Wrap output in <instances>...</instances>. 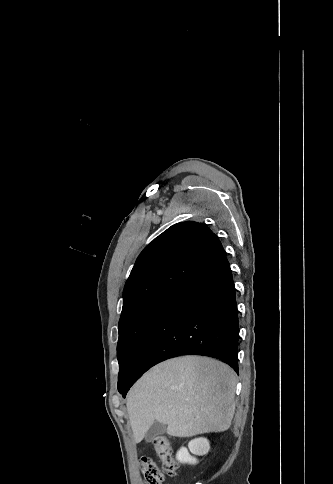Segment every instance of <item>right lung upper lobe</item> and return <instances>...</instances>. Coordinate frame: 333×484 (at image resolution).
<instances>
[{
	"label": "right lung upper lobe",
	"mask_w": 333,
	"mask_h": 484,
	"mask_svg": "<svg viewBox=\"0 0 333 484\" xmlns=\"http://www.w3.org/2000/svg\"><path fill=\"white\" fill-rule=\"evenodd\" d=\"M225 255L205 224H174L138 256L125 284L121 315L159 293L179 289Z\"/></svg>",
	"instance_id": "1"
}]
</instances>
